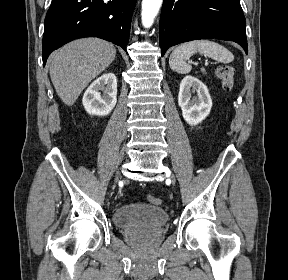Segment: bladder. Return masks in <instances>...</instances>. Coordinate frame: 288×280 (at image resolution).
Returning <instances> with one entry per match:
<instances>
[{
    "label": "bladder",
    "instance_id": "31cf9c89",
    "mask_svg": "<svg viewBox=\"0 0 288 280\" xmlns=\"http://www.w3.org/2000/svg\"><path fill=\"white\" fill-rule=\"evenodd\" d=\"M112 218L114 224L120 228L145 231L162 230L169 219L164 209L138 203L117 208Z\"/></svg>",
    "mask_w": 288,
    "mask_h": 280
}]
</instances>
